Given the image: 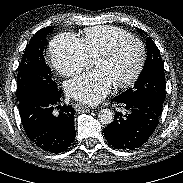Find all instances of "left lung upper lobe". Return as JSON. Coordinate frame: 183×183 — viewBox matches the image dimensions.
I'll return each mask as SVG.
<instances>
[{
  "mask_svg": "<svg viewBox=\"0 0 183 183\" xmlns=\"http://www.w3.org/2000/svg\"><path fill=\"white\" fill-rule=\"evenodd\" d=\"M141 32H144L140 30ZM146 34V33H145ZM147 35V34H146ZM147 60L133 88H129L121 98L145 102L162 111L165 100V73L160 51L150 37L146 39Z\"/></svg>",
  "mask_w": 183,
  "mask_h": 183,
  "instance_id": "obj_1",
  "label": "left lung upper lobe"
}]
</instances>
